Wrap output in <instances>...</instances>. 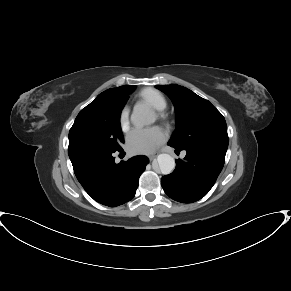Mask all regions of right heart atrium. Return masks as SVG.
<instances>
[{"label": "right heart atrium", "instance_id": "right-heart-atrium-1", "mask_svg": "<svg viewBox=\"0 0 291 291\" xmlns=\"http://www.w3.org/2000/svg\"><path fill=\"white\" fill-rule=\"evenodd\" d=\"M129 117H130V109L128 107H124L120 113L119 124L120 128L123 132L128 131L129 128Z\"/></svg>", "mask_w": 291, "mask_h": 291}]
</instances>
